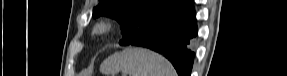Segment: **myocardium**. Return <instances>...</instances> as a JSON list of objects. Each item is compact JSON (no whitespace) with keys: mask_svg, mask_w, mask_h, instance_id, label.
<instances>
[{"mask_svg":"<svg viewBox=\"0 0 287 76\" xmlns=\"http://www.w3.org/2000/svg\"><path fill=\"white\" fill-rule=\"evenodd\" d=\"M111 29V24L108 23V22H101L99 23L96 28H95V31L98 33V34H105V33H108Z\"/></svg>","mask_w":287,"mask_h":76,"instance_id":"obj_1","label":"myocardium"}]
</instances>
